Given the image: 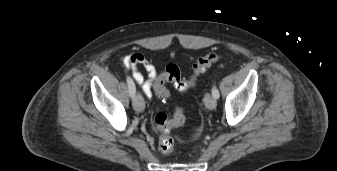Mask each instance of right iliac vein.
<instances>
[{
    "label": "right iliac vein",
    "mask_w": 337,
    "mask_h": 171,
    "mask_svg": "<svg viewBox=\"0 0 337 171\" xmlns=\"http://www.w3.org/2000/svg\"><path fill=\"white\" fill-rule=\"evenodd\" d=\"M132 104H133V108L138 112H142L145 109V102H144V99H143V97L140 93H137L133 97Z\"/></svg>",
    "instance_id": "obj_1"
}]
</instances>
